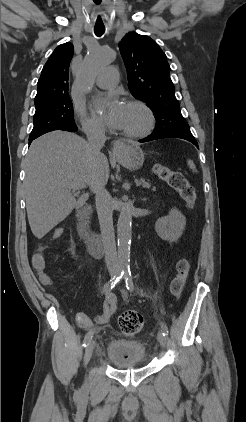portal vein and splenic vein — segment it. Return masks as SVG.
<instances>
[{"mask_svg": "<svg viewBox=\"0 0 246 422\" xmlns=\"http://www.w3.org/2000/svg\"><path fill=\"white\" fill-rule=\"evenodd\" d=\"M143 183L144 181H138L136 182V186L143 185ZM69 186L73 189H83L86 187L84 184H70Z\"/></svg>", "mask_w": 246, "mask_h": 422, "instance_id": "portal-vein-and-splenic-vein-1", "label": "portal vein and splenic vein"}]
</instances>
